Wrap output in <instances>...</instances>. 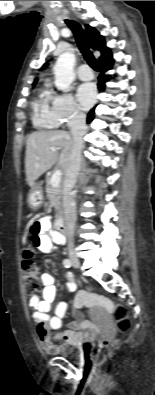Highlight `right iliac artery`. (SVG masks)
<instances>
[{"label":"right iliac artery","mask_w":155,"mask_h":395,"mask_svg":"<svg viewBox=\"0 0 155 395\" xmlns=\"http://www.w3.org/2000/svg\"><path fill=\"white\" fill-rule=\"evenodd\" d=\"M63 265H64L66 268H69V267H71L72 263H71V261H70L69 259H65V260L63 261Z\"/></svg>","instance_id":"obj_1"}]
</instances>
